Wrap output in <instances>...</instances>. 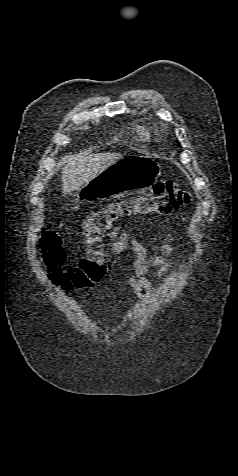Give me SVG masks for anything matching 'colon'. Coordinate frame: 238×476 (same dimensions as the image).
Returning <instances> with one entry per match:
<instances>
[{
    "instance_id": "5ec220e1",
    "label": "colon",
    "mask_w": 238,
    "mask_h": 476,
    "mask_svg": "<svg viewBox=\"0 0 238 476\" xmlns=\"http://www.w3.org/2000/svg\"><path fill=\"white\" fill-rule=\"evenodd\" d=\"M190 199L189 192L167 180L153 184L135 197L116 201L92 213L84 222L85 255L75 266L66 269L63 268L66 254L60 236L46 230L40 239V249L49 278L64 290L91 287L106 272L103 244L115 222L136 216L170 214L186 206Z\"/></svg>"
}]
</instances>
